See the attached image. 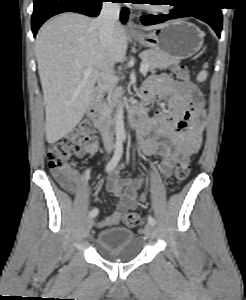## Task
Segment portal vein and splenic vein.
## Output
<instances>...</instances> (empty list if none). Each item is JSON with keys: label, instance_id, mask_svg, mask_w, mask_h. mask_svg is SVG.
Wrapping results in <instances>:
<instances>
[{"label": "portal vein and splenic vein", "instance_id": "1", "mask_svg": "<svg viewBox=\"0 0 246 300\" xmlns=\"http://www.w3.org/2000/svg\"><path fill=\"white\" fill-rule=\"evenodd\" d=\"M149 69V66L147 64H141L140 66V72L141 73H146ZM92 70L91 69H86L84 72H83V75L84 76H89L91 74Z\"/></svg>", "mask_w": 246, "mask_h": 300}]
</instances>
